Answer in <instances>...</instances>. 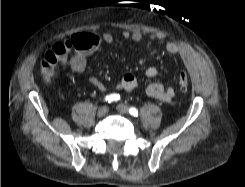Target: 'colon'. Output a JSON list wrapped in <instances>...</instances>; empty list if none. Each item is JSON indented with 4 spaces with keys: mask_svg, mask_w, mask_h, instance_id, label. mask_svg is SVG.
Wrapping results in <instances>:
<instances>
[{
    "mask_svg": "<svg viewBox=\"0 0 245 187\" xmlns=\"http://www.w3.org/2000/svg\"><path fill=\"white\" fill-rule=\"evenodd\" d=\"M81 45L78 37H73L70 41L59 42L53 47V51L48 53L42 63L43 76L50 80L54 76L55 66L58 62H62L69 54L73 47ZM190 79L186 72H181L179 75V86L182 91H186L189 87Z\"/></svg>",
    "mask_w": 245,
    "mask_h": 187,
    "instance_id": "5ec220e1",
    "label": "colon"
}]
</instances>
